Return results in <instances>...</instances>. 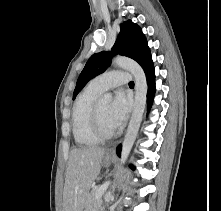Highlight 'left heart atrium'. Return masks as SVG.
Returning a JSON list of instances; mask_svg holds the SVG:
<instances>
[{
	"mask_svg": "<svg viewBox=\"0 0 221 211\" xmlns=\"http://www.w3.org/2000/svg\"><path fill=\"white\" fill-rule=\"evenodd\" d=\"M130 111V100L122 91L116 92L109 107V118L115 129L121 128Z\"/></svg>",
	"mask_w": 221,
	"mask_h": 211,
	"instance_id": "39dd6f15",
	"label": "left heart atrium"
}]
</instances>
